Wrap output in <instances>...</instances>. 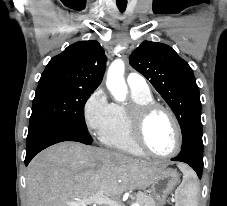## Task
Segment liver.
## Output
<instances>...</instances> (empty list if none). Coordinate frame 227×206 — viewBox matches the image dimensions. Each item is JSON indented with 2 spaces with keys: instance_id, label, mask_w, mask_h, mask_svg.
I'll use <instances>...</instances> for the list:
<instances>
[{
  "instance_id": "6515ba94",
  "label": "liver",
  "mask_w": 227,
  "mask_h": 206,
  "mask_svg": "<svg viewBox=\"0 0 227 206\" xmlns=\"http://www.w3.org/2000/svg\"><path fill=\"white\" fill-rule=\"evenodd\" d=\"M166 167L78 142L58 143L34 157L27 168L28 206H69L99 191L108 197L144 189Z\"/></svg>"
}]
</instances>
